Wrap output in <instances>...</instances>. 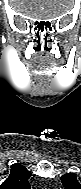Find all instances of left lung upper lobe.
Instances as JSON below:
<instances>
[{
    "instance_id": "5c2ea615",
    "label": "left lung upper lobe",
    "mask_w": 81,
    "mask_h": 189,
    "mask_svg": "<svg viewBox=\"0 0 81 189\" xmlns=\"http://www.w3.org/2000/svg\"><path fill=\"white\" fill-rule=\"evenodd\" d=\"M61 181L65 189H81V184L78 182L76 174L74 173L62 175Z\"/></svg>"
}]
</instances>
